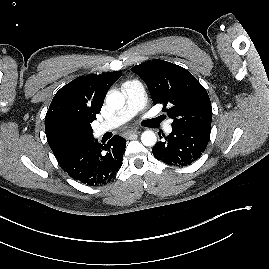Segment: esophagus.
Returning <instances> with one entry per match:
<instances>
[{
    "label": "esophagus",
    "mask_w": 269,
    "mask_h": 269,
    "mask_svg": "<svg viewBox=\"0 0 269 269\" xmlns=\"http://www.w3.org/2000/svg\"><path fill=\"white\" fill-rule=\"evenodd\" d=\"M138 133H139V131H130V132H127V133L125 134V137H126V138H130V137H132V136L137 135Z\"/></svg>",
    "instance_id": "34e87169"
}]
</instances>
